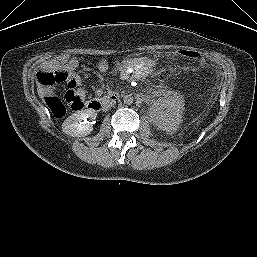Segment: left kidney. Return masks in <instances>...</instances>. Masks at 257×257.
<instances>
[{
  "mask_svg": "<svg viewBox=\"0 0 257 257\" xmlns=\"http://www.w3.org/2000/svg\"><path fill=\"white\" fill-rule=\"evenodd\" d=\"M184 110V99L181 95H168L156 101L151 109V118L158 128L174 132L182 122Z\"/></svg>",
  "mask_w": 257,
  "mask_h": 257,
  "instance_id": "obj_1",
  "label": "left kidney"
}]
</instances>
